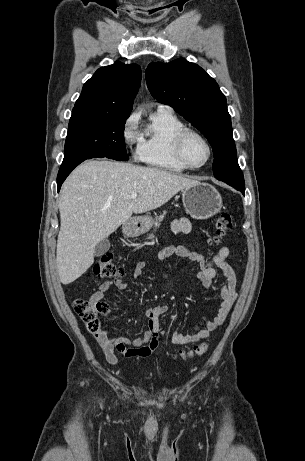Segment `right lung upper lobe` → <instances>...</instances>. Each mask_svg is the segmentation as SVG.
<instances>
[{"label": "right lung upper lobe", "instance_id": "1", "mask_svg": "<svg viewBox=\"0 0 305 461\" xmlns=\"http://www.w3.org/2000/svg\"><path fill=\"white\" fill-rule=\"evenodd\" d=\"M140 80L141 68L136 64L115 62L102 67L84 84L73 111L129 117Z\"/></svg>", "mask_w": 305, "mask_h": 461}]
</instances>
